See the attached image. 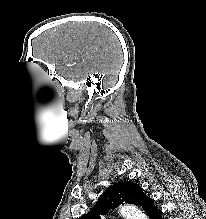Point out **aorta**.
<instances>
[{
    "instance_id": "obj_1",
    "label": "aorta",
    "mask_w": 206,
    "mask_h": 219,
    "mask_svg": "<svg viewBox=\"0 0 206 219\" xmlns=\"http://www.w3.org/2000/svg\"><path fill=\"white\" fill-rule=\"evenodd\" d=\"M119 211L125 219H148L141 210L133 205H123Z\"/></svg>"
}]
</instances>
